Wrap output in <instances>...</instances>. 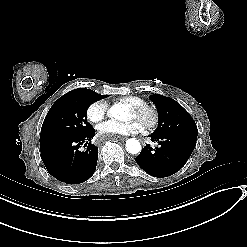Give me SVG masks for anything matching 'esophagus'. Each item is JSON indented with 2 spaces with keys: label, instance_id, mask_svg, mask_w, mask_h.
Returning <instances> with one entry per match:
<instances>
[{
  "label": "esophagus",
  "instance_id": "34e87169",
  "mask_svg": "<svg viewBox=\"0 0 247 247\" xmlns=\"http://www.w3.org/2000/svg\"><path fill=\"white\" fill-rule=\"evenodd\" d=\"M138 140L140 141V143L145 144V141H143L141 137H138Z\"/></svg>",
  "mask_w": 247,
  "mask_h": 247
}]
</instances>
